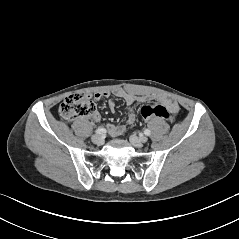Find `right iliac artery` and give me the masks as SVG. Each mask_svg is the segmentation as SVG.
I'll return each instance as SVG.
<instances>
[{"mask_svg": "<svg viewBox=\"0 0 239 239\" xmlns=\"http://www.w3.org/2000/svg\"><path fill=\"white\" fill-rule=\"evenodd\" d=\"M95 132L97 134H104V133H106V130L104 128H98Z\"/></svg>", "mask_w": 239, "mask_h": 239, "instance_id": "obj_1", "label": "right iliac artery"}]
</instances>
